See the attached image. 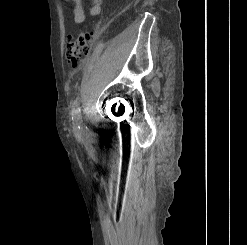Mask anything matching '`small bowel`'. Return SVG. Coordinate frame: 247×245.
<instances>
[{
    "instance_id": "obj_1",
    "label": "small bowel",
    "mask_w": 247,
    "mask_h": 245,
    "mask_svg": "<svg viewBox=\"0 0 247 245\" xmlns=\"http://www.w3.org/2000/svg\"><path fill=\"white\" fill-rule=\"evenodd\" d=\"M70 1L73 5L72 7V14L74 22L77 24H82L85 22L87 18V14L89 16H97L101 12V4L102 0H89L90 1V8L88 10V13L85 12V10L82 7L81 0H66Z\"/></svg>"
}]
</instances>
